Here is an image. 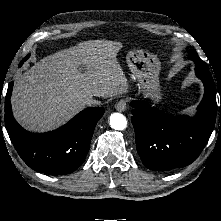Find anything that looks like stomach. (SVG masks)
Masks as SVG:
<instances>
[{"label": "stomach", "instance_id": "1", "mask_svg": "<svg viewBox=\"0 0 221 221\" xmlns=\"http://www.w3.org/2000/svg\"><path fill=\"white\" fill-rule=\"evenodd\" d=\"M132 77L137 80L139 93L154 103H159L162 94L159 85L161 63L158 57L147 51H130L126 57Z\"/></svg>", "mask_w": 221, "mask_h": 221}]
</instances>
